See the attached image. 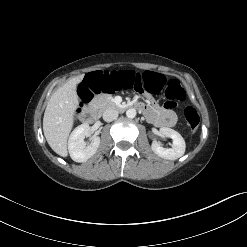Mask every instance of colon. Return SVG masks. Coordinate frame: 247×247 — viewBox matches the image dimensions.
Listing matches in <instances>:
<instances>
[{"instance_id": "colon-1", "label": "colon", "mask_w": 247, "mask_h": 247, "mask_svg": "<svg viewBox=\"0 0 247 247\" xmlns=\"http://www.w3.org/2000/svg\"><path fill=\"white\" fill-rule=\"evenodd\" d=\"M136 91L140 94L158 93L162 90L168 99L167 105L173 107L177 102L185 99V90L177 79L166 80L160 74L138 71L128 65L110 66L105 72H90L81 88V101L87 103L93 94ZM184 118L191 132L199 127L200 117L196 109L186 107Z\"/></svg>"}]
</instances>
